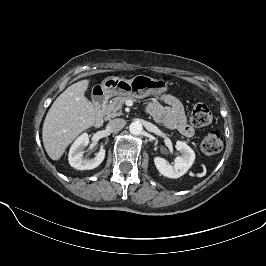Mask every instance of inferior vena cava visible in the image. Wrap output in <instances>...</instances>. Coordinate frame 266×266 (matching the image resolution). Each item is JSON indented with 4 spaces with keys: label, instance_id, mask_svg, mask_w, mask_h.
<instances>
[{
    "label": "inferior vena cava",
    "instance_id": "1",
    "mask_svg": "<svg viewBox=\"0 0 266 266\" xmlns=\"http://www.w3.org/2000/svg\"><path fill=\"white\" fill-rule=\"evenodd\" d=\"M125 124H126V121L124 119L116 118V119L111 120L107 124V129L111 132H118L125 126Z\"/></svg>",
    "mask_w": 266,
    "mask_h": 266
}]
</instances>
